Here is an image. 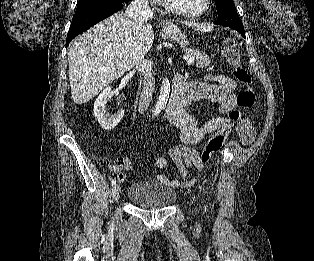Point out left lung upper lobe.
<instances>
[{
  "label": "left lung upper lobe",
  "mask_w": 314,
  "mask_h": 261,
  "mask_svg": "<svg viewBox=\"0 0 314 261\" xmlns=\"http://www.w3.org/2000/svg\"><path fill=\"white\" fill-rule=\"evenodd\" d=\"M215 4L218 13L216 24L233 29H244L233 0H215Z\"/></svg>",
  "instance_id": "1"
}]
</instances>
